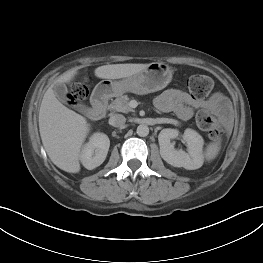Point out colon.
Masks as SVG:
<instances>
[{
	"mask_svg": "<svg viewBox=\"0 0 263 263\" xmlns=\"http://www.w3.org/2000/svg\"><path fill=\"white\" fill-rule=\"evenodd\" d=\"M189 92L197 99L206 98L213 89V81L206 75H193L187 81ZM88 96V88L84 83H76L68 94V102L75 105ZM196 123L200 129L207 132L213 140H219L222 135L215 116L208 112H201L196 116Z\"/></svg>",
	"mask_w": 263,
	"mask_h": 263,
	"instance_id": "obj_1",
	"label": "colon"
}]
</instances>
